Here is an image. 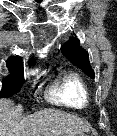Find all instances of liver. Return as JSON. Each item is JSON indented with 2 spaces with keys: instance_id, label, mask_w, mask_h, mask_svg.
Here are the masks:
<instances>
[{
  "instance_id": "6515ba94",
  "label": "liver",
  "mask_w": 117,
  "mask_h": 136,
  "mask_svg": "<svg viewBox=\"0 0 117 136\" xmlns=\"http://www.w3.org/2000/svg\"><path fill=\"white\" fill-rule=\"evenodd\" d=\"M21 105L0 100V136H76L89 130L86 121L76 115L45 109L22 118Z\"/></svg>"
}]
</instances>
